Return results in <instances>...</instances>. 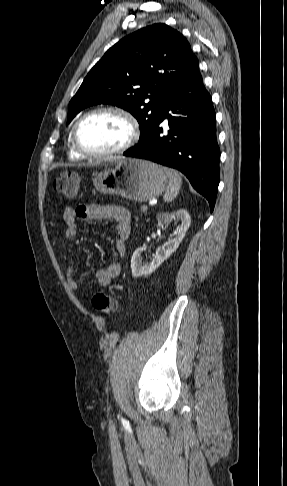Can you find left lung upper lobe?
<instances>
[{
  "mask_svg": "<svg viewBox=\"0 0 287 486\" xmlns=\"http://www.w3.org/2000/svg\"><path fill=\"white\" fill-rule=\"evenodd\" d=\"M190 44L177 30L157 23L118 41L96 63L69 103L67 122L94 104L129 111L140 139L158 120L168 92L198 66Z\"/></svg>",
  "mask_w": 287,
  "mask_h": 486,
  "instance_id": "1",
  "label": "left lung upper lobe"
}]
</instances>
